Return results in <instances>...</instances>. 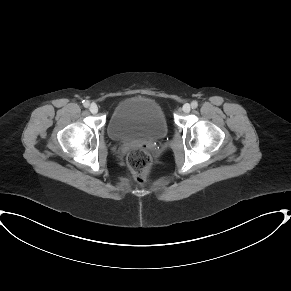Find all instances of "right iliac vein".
I'll use <instances>...</instances> for the list:
<instances>
[{
	"instance_id": "1",
	"label": "right iliac vein",
	"mask_w": 291,
	"mask_h": 291,
	"mask_svg": "<svg viewBox=\"0 0 291 291\" xmlns=\"http://www.w3.org/2000/svg\"><path fill=\"white\" fill-rule=\"evenodd\" d=\"M89 110L92 114H96L98 112V106L95 103H92L89 107Z\"/></svg>"
}]
</instances>
